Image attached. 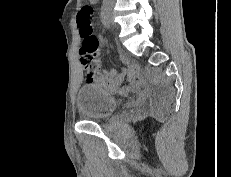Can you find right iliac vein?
I'll return each mask as SVG.
<instances>
[{"label": "right iliac vein", "mask_w": 231, "mask_h": 177, "mask_svg": "<svg viewBox=\"0 0 231 177\" xmlns=\"http://www.w3.org/2000/svg\"><path fill=\"white\" fill-rule=\"evenodd\" d=\"M108 16H111V12H108Z\"/></svg>", "instance_id": "63e3f726"}]
</instances>
